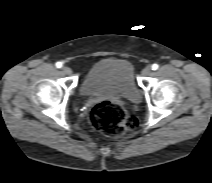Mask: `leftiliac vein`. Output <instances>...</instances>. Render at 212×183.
Segmentation results:
<instances>
[{
    "mask_svg": "<svg viewBox=\"0 0 212 183\" xmlns=\"http://www.w3.org/2000/svg\"><path fill=\"white\" fill-rule=\"evenodd\" d=\"M151 73H152V69H151L150 67H145V68L142 70V75H143V76H149Z\"/></svg>",
    "mask_w": 212,
    "mask_h": 183,
    "instance_id": "4c4485c4",
    "label": "left iliac vein"
}]
</instances>
